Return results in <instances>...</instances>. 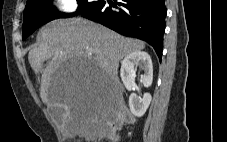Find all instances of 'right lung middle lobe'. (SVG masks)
Instances as JSON below:
<instances>
[{"instance_id":"obj_1","label":"right lung middle lobe","mask_w":227,"mask_h":142,"mask_svg":"<svg viewBox=\"0 0 227 142\" xmlns=\"http://www.w3.org/2000/svg\"><path fill=\"white\" fill-rule=\"evenodd\" d=\"M100 1L77 0V11L71 14H65L56 10L52 0H29L24 11L22 39L25 40L37 28L51 20L81 14L87 8L98 4Z\"/></svg>"}]
</instances>
